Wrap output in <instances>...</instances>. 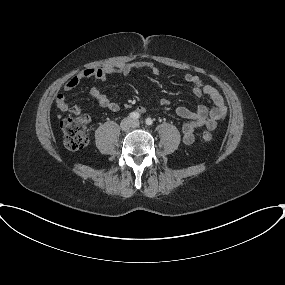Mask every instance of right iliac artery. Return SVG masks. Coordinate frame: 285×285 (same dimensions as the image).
I'll return each mask as SVG.
<instances>
[{
    "instance_id": "obj_1",
    "label": "right iliac artery",
    "mask_w": 285,
    "mask_h": 285,
    "mask_svg": "<svg viewBox=\"0 0 285 285\" xmlns=\"http://www.w3.org/2000/svg\"><path fill=\"white\" fill-rule=\"evenodd\" d=\"M129 116H130V118H132V119H138V118H140V114H139L138 112H131V113L129 114Z\"/></svg>"
}]
</instances>
